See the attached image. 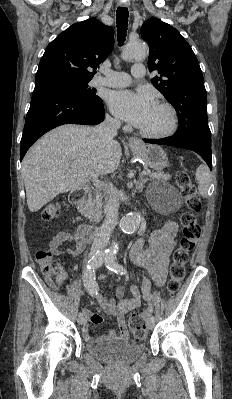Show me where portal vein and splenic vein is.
Masks as SVG:
<instances>
[{
  "mask_svg": "<svg viewBox=\"0 0 232 399\" xmlns=\"http://www.w3.org/2000/svg\"><path fill=\"white\" fill-rule=\"evenodd\" d=\"M147 174H151L150 170H144V172H141L140 176H147ZM93 182L95 186H99L98 178H93Z\"/></svg>",
  "mask_w": 232,
  "mask_h": 399,
  "instance_id": "obj_1",
  "label": "portal vein and splenic vein"
}]
</instances>
